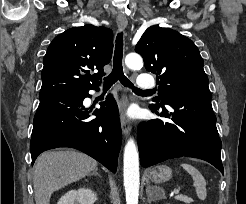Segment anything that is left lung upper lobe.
Listing matches in <instances>:
<instances>
[{"instance_id":"1","label":"left lung upper lobe","mask_w":246,"mask_h":204,"mask_svg":"<svg viewBox=\"0 0 246 204\" xmlns=\"http://www.w3.org/2000/svg\"><path fill=\"white\" fill-rule=\"evenodd\" d=\"M135 51L143 57L146 70L157 74L159 97L154 101L163 104L171 97L212 98L204 61L189 38L169 28L151 26ZM161 104L151 106L159 108Z\"/></svg>"}]
</instances>
